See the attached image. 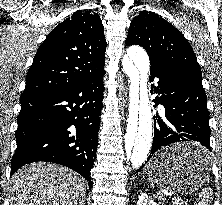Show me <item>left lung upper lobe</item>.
Returning <instances> with one entry per match:
<instances>
[{
	"instance_id": "obj_1",
	"label": "left lung upper lobe",
	"mask_w": 222,
	"mask_h": 205,
	"mask_svg": "<svg viewBox=\"0 0 222 205\" xmlns=\"http://www.w3.org/2000/svg\"><path fill=\"white\" fill-rule=\"evenodd\" d=\"M126 45L142 46L150 63H165L202 77L201 68L188 41L171 23L150 11H140L132 20Z\"/></svg>"
}]
</instances>
